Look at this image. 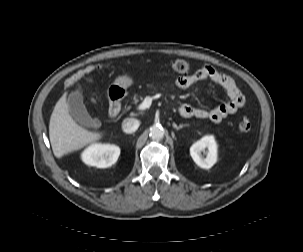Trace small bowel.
<instances>
[{"label": "small bowel", "mask_w": 303, "mask_h": 252, "mask_svg": "<svg viewBox=\"0 0 303 252\" xmlns=\"http://www.w3.org/2000/svg\"><path fill=\"white\" fill-rule=\"evenodd\" d=\"M205 80H209L222 88L226 93V100L210 110L196 108L188 103H184L178 108V112L182 116L209 119L217 123L228 115L234 114L243 106L244 96L233 79L209 66H202L193 74L178 77L175 84L179 89H188L194 84Z\"/></svg>", "instance_id": "obj_1"}]
</instances>
